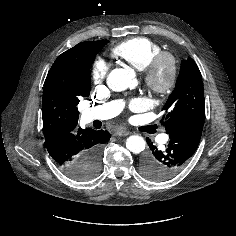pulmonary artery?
<instances>
[{
  "instance_id": "e3ab8cb5",
  "label": "pulmonary artery",
  "mask_w": 236,
  "mask_h": 236,
  "mask_svg": "<svg viewBox=\"0 0 236 236\" xmlns=\"http://www.w3.org/2000/svg\"><path fill=\"white\" fill-rule=\"evenodd\" d=\"M123 102L121 100L111 101L100 106L89 108L83 112V117L86 122L93 120H105L116 116L122 109ZM167 135H162L161 141L166 142Z\"/></svg>"
}]
</instances>
